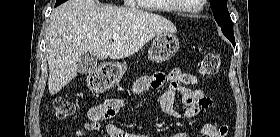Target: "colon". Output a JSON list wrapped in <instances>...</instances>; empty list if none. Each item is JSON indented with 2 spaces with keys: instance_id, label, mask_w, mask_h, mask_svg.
I'll return each instance as SVG.
<instances>
[{
  "instance_id": "1",
  "label": "colon",
  "mask_w": 280,
  "mask_h": 137,
  "mask_svg": "<svg viewBox=\"0 0 280 137\" xmlns=\"http://www.w3.org/2000/svg\"><path fill=\"white\" fill-rule=\"evenodd\" d=\"M221 68V57L217 53L206 54L199 66V72L202 76H214L218 74ZM53 108L56 117L65 119L71 116L74 112L75 106L72 102L63 97H58L53 101ZM228 133V126H214L203 130L205 137H226Z\"/></svg>"
}]
</instances>
